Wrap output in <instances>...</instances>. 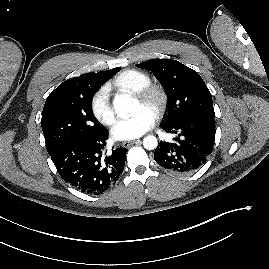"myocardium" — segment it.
<instances>
[{
	"instance_id": "obj_1",
	"label": "myocardium",
	"mask_w": 269,
	"mask_h": 269,
	"mask_svg": "<svg viewBox=\"0 0 269 269\" xmlns=\"http://www.w3.org/2000/svg\"><path fill=\"white\" fill-rule=\"evenodd\" d=\"M136 98L143 105H153L156 117H161L168 106V94L158 84L149 83L135 94Z\"/></svg>"
}]
</instances>
